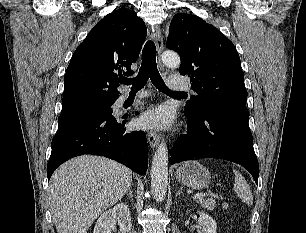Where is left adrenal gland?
Here are the masks:
<instances>
[{
	"mask_svg": "<svg viewBox=\"0 0 306 233\" xmlns=\"http://www.w3.org/2000/svg\"><path fill=\"white\" fill-rule=\"evenodd\" d=\"M182 194V187H180L179 191L177 192L176 196H180Z\"/></svg>",
	"mask_w": 306,
	"mask_h": 233,
	"instance_id": "a2214340",
	"label": "left adrenal gland"
}]
</instances>
